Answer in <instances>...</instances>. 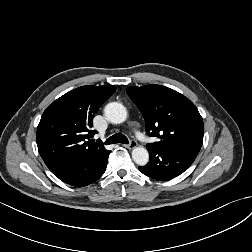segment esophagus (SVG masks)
Segmentation results:
<instances>
[{
	"label": "esophagus",
	"instance_id": "34e87169",
	"mask_svg": "<svg viewBox=\"0 0 252 252\" xmlns=\"http://www.w3.org/2000/svg\"><path fill=\"white\" fill-rule=\"evenodd\" d=\"M137 142L135 140H131L129 144L123 145L124 147L128 148V149H134L135 147H137Z\"/></svg>",
	"mask_w": 252,
	"mask_h": 252
}]
</instances>
